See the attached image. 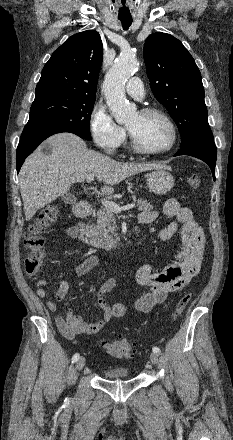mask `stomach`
<instances>
[{"mask_svg": "<svg viewBox=\"0 0 233 440\" xmlns=\"http://www.w3.org/2000/svg\"><path fill=\"white\" fill-rule=\"evenodd\" d=\"M174 178L166 169H156L147 175V187L156 195L168 193L174 186Z\"/></svg>", "mask_w": 233, "mask_h": 440, "instance_id": "1", "label": "stomach"}]
</instances>
